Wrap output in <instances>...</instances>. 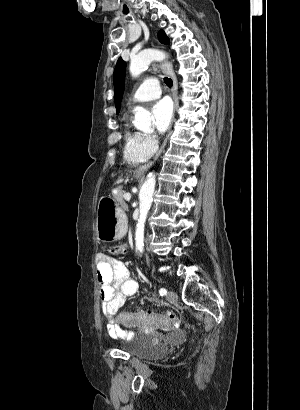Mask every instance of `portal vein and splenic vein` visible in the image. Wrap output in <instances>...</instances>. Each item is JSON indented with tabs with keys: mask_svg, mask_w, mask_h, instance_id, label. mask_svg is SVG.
I'll return each mask as SVG.
<instances>
[{
	"mask_svg": "<svg viewBox=\"0 0 300 410\" xmlns=\"http://www.w3.org/2000/svg\"><path fill=\"white\" fill-rule=\"evenodd\" d=\"M124 199H125L126 201H130V199H131V194H130V193H125Z\"/></svg>",
	"mask_w": 300,
	"mask_h": 410,
	"instance_id": "18ae733b",
	"label": "portal vein and splenic vein"
}]
</instances>
